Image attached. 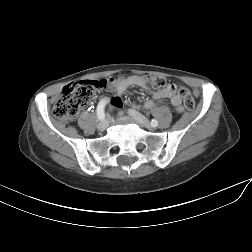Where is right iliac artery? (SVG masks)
I'll use <instances>...</instances> for the list:
<instances>
[{"label":"right iliac artery","instance_id":"82829eb1","mask_svg":"<svg viewBox=\"0 0 252 252\" xmlns=\"http://www.w3.org/2000/svg\"><path fill=\"white\" fill-rule=\"evenodd\" d=\"M106 104H107V100H102L101 102H99V104H98V106H97L96 112L98 113V115H99V120H100L101 122H104V121H105V110H104V108H105ZM99 120H98V121H99Z\"/></svg>","mask_w":252,"mask_h":252}]
</instances>
